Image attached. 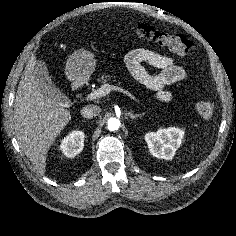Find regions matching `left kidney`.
<instances>
[{
    "label": "left kidney",
    "mask_w": 236,
    "mask_h": 236,
    "mask_svg": "<svg viewBox=\"0 0 236 236\" xmlns=\"http://www.w3.org/2000/svg\"><path fill=\"white\" fill-rule=\"evenodd\" d=\"M184 131L179 128L170 127L159 129L157 132H150L145 135L150 153L159 159H173L176 150L180 147Z\"/></svg>",
    "instance_id": "left-kidney-1"
}]
</instances>
